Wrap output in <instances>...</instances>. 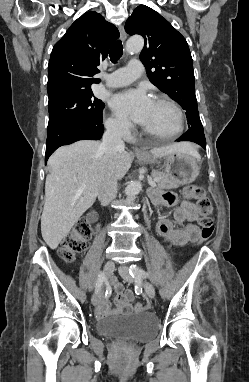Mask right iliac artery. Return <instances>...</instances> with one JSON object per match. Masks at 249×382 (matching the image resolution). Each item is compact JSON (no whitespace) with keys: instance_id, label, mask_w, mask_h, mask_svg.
I'll return each instance as SVG.
<instances>
[{"instance_id":"1","label":"right iliac artery","mask_w":249,"mask_h":382,"mask_svg":"<svg viewBox=\"0 0 249 382\" xmlns=\"http://www.w3.org/2000/svg\"><path fill=\"white\" fill-rule=\"evenodd\" d=\"M104 280H105L104 273H100L96 282V290H99L101 288Z\"/></svg>"}]
</instances>
